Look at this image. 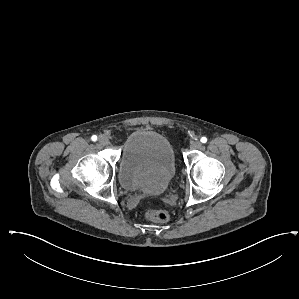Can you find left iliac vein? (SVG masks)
<instances>
[{"label":"left iliac vein","instance_id":"1","mask_svg":"<svg viewBox=\"0 0 299 299\" xmlns=\"http://www.w3.org/2000/svg\"><path fill=\"white\" fill-rule=\"evenodd\" d=\"M202 147V143L199 140H194L190 143V148L192 150L200 149Z\"/></svg>","mask_w":299,"mask_h":299}]
</instances>
